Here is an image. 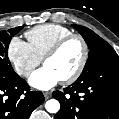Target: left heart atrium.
Instances as JSON below:
<instances>
[{"instance_id": "obj_1", "label": "left heart atrium", "mask_w": 119, "mask_h": 119, "mask_svg": "<svg viewBox=\"0 0 119 119\" xmlns=\"http://www.w3.org/2000/svg\"><path fill=\"white\" fill-rule=\"evenodd\" d=\"M60 81L59 76L47 66L36 70L29 79L31 86L39 90H48Z\"/></svg>"}]
</instances>
